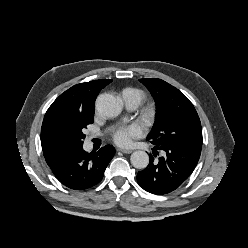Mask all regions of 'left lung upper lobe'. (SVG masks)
I'll list each match as a JSON object with an SVG mask.
<instances>
[{
	"instance_id": "5c2ea615",
	"label": "left lung upper lobe",
	"mask_w": 248,
	"mask_h": 248,
	"mask_svg": "<svg viewBox=\"0 0 248 248\" xmlns=\"http://www.w3.org/2000/svg\"><path fill=\"white\" fill-rule=\"evenodd\" d=\"M156 102L155 122L147 140L201 151L202 128L193 104L177 88L157 78L140 79Z\"/></svg>"
}]
</instances>
